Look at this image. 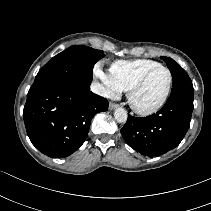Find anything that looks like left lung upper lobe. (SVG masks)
I'll return each instance as SVG.
<instances>
[{"mask_svg":"<svg viewBox=\"0 0 211 211\" xmlns=\"http://www.w3.org/2000/svg\"><path fill=\"white\" fill-rule=\"evenodd\" d=\"M167 64L173 79V88L170 95H192L194 96L193 85L186 71L173 59L161 57Z\"/></svg>","mask_w":211,"mask_h":211,"instance_id":"left-lung-upper-lobe-1","label":"left lung upper lobe"}]
</instances>
